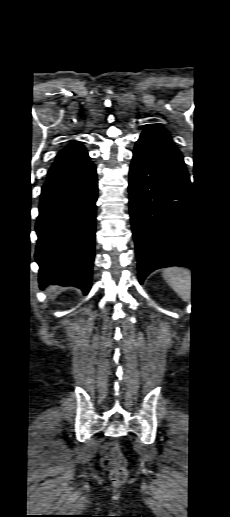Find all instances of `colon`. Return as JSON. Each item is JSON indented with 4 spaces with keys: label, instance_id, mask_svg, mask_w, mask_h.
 <instances>
[{
    "label": "colon",
    "instance_id": "obj_1",
    "mask_svg": "<svg viewBox=\"0 0 230 517\" xmlns=\"http://www.w3.org/2000/svg\"><path fill=\"white\" fill-rule=\"evenodd\" d=\"M101 465L107 470L115 483L126 480V460L120 445L115 441L105 443L101 448Z\"/></svg>",
    "mask_w": 230,
    "mask_h": 517
}]
</instances>
